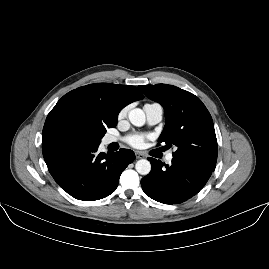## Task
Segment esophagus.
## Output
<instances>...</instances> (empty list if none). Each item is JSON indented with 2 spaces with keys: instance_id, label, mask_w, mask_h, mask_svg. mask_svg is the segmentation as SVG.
<instances>
[{
  "instance_id": "obj_1",
  "label": "esophagus",
  "mask_w": 269,
  "mask_h": 269,
  "mask_svg": "<svg viewBox=\"0 0 269 269\" xmlns=\"http://www.w3.org/2000/svg\"><path fill=\"white\" fill-rule=\"evenodd\" d=\"M135 156H136V158H144L145 156L141 153V152H139V151H137V152H135Z\"/></svg>"
}]
</instances>
